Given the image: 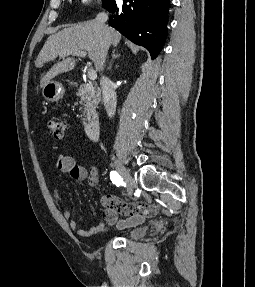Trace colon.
I'll use <instances>...</instances> for the list:
<instances>
[{
    "mask_svg": "<svg viewBox=\"0 0 255 287\" xmlns=\"http://www.w3.org/2000/svg\"><path fill=\"white\" fill-rule=\"evenodd\" d=\"M47 127L55 138H61L64 134L65 124L58 119H50L47 122Z\"/></svg>",
    "mask_w": 255,
    "mask_h": 287,
    "instance_id": "colon-1",
    "label": "colon"
}]
</instances>
